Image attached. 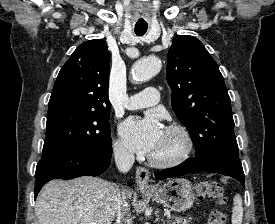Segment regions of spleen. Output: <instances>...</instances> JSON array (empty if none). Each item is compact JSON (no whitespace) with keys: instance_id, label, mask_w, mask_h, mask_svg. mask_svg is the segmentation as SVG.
<instances>
[{"instance_id":"spleen-1","label":"spleen","mask_w":275,"mask_h":224,"mask_svg":"<svg viewBox=\"0 0 275 224\" xmlns=\"http://www.w3.org/2000/svg\"><path fill=\"white\" fill-rule=\"evenodd\" d=\"M233 210H232V224H242L243 220V207H242V197L237 194L233 198Z\"/></svg>"}]
</instances>
